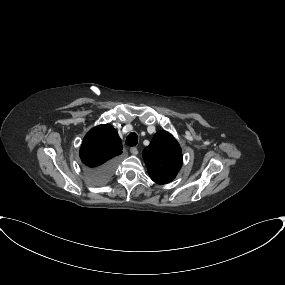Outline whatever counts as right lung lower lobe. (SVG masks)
Listing matches in <instances>:
<instances>
[{
    "label": "right lung lower lobe",
    "instance_id": "obj_1",
    "mask_svg": "<svg viewBox=\"0 0 285 285\" xmlns=\"http://www.w3.org/2000/svg\"><path fill=\"white\" fill-rule=\"evenodd\" d=\"M116 167V159H112L100 167L89 169L88 177L93 184L105 183L113 174Z\"/></svg>",
    "mask_w": 285,
    "mask_h": 285
}]
</instances>
